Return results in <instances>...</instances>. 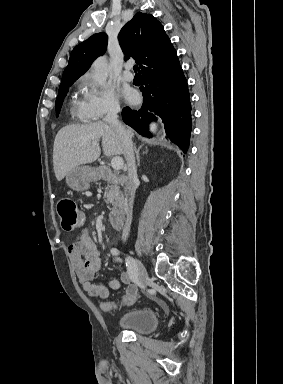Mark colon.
<instances>
[{"label":"colon","mask_w":283,"mask_h":384,"mask_svg":"<svg viewBox=\"0 0 283 384\" xmlns=\"http://www.w3.org/2000/svg\"><path fill=\"white\" fill-rule=\"evenodd\" d=\"M57 211L63 230L71 232L83 224V214L72 199L61 200L58 203ZM136 296V288L133 286L128 287L122 296V304L126 306L132 305L136 300ZM115 308L116 304L114 302L107 301L101 304V309L106 313L113 312Z\"/></svg>","instance_id":"colon-1"}]
</instances>
